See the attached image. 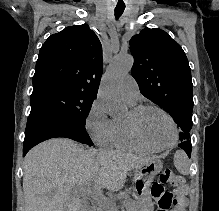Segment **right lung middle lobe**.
Returning a JSON list of instances; mask_svg holds the SVG:
<instances>
[{"label":"right lung middle lobe","instance_id":"obj_1","mask_svg":"<svg viewBox=\"0 0 219 211\" xmlns=\"http://www.w3.org/2000/svg\"><path fill=\"white\" fill-rule=\"evenodd\" d=\"M95 95L61 85H50L31 94V111H48L85 127Z\"/></svg>","mask_w":219,"mask_h":211}]
</instances>
